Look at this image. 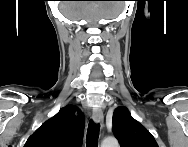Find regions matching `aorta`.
<instances>
[{
  "label": "aorta",
  "mask_w": 188,
  "mask_h": 147,
  "mask_svg": "<svg viewBox=\"0 0 188 147\" xmlns=\"http://www.w3.org/2000/svg\"><path fill=\"white\" fill-rule=\"evenodd\" d=\"M118 141L114 137H107L102 142V147H118Z\"/></svg>",
  "instance_id": "1"
}]
</instances>
